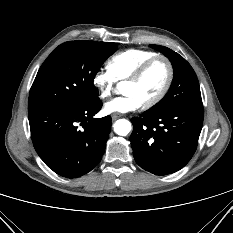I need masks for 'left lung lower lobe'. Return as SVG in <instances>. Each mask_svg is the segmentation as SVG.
Here are the masks:
<instances>
[{"label": "left lung lower lobe", "instance_id": "1", "mask_svg": "<svg viewBox=\"0 0 233 233\" xmlns=\"http://www.w3.org/2000/svg\"><path fill=\"white\" fill-rule=\"evenodd\" d=\"M130 136L137 164L155 175L183 168L196 151L203 125V107L177 106L159 113L145 111L131 119Z\"/></svg>", "mask_w": 233, "mask_h": 233}]
</instances>
